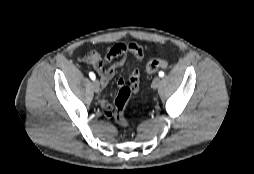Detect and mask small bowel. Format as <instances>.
Instances as JSON below:
<instances>
[{
    "label": "small bowel",
    "instance_id": "small-bowel-1",
    "mask_svg": "<svg viewBox=\"0 0 254 174\" xmlns=\"http://www.w3.org/2000/svg\"><path fill=\"white\" fill-rule=\"evenodd\" d=\"M129 51L138 60H142L144 53L143 50L137 45H117L114 46L104 57H101L96 52H90L83 57V61L89 65H93L100 75L101 85L103 88L107 86L109 81L114 77L117 70L123 65L124 60L120 59L112 63L108 68L105 67L106 63L110 62L114 57L118 55H125ZM141 73L138 69H133L129 75V83L136 91L140 84ZM123 79H118L117 84L119 86L124 85ZM101 108L105 117L112 115V105L109 100L103 95L101 97Z\"/></svg>",
    "mask_w": 254,
    "mask_h": 174
}]
</instances>
